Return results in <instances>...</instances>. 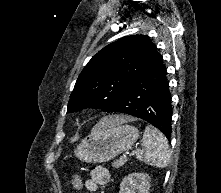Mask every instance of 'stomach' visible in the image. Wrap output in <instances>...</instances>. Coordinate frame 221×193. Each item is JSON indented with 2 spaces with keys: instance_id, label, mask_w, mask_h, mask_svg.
<instances>
[{
  "instance_id": "stomach-1",
  "label": "stomach",
  "mask_w": 221,
  "mask_h": 193,
  "mask_svg": "<svg viewBox=\"0 0 221 193\" xmlns=\"http://www.w3.org/2000/svg\"><path fill=\"white\" fill-rule=\"evenodd\" d=\"M139 137L136 127L120 124L103 128L99 123L91 134L77 146L76 157L87 163L107 162L130 149Z\"/></svg>"
}]
</instances>
